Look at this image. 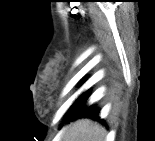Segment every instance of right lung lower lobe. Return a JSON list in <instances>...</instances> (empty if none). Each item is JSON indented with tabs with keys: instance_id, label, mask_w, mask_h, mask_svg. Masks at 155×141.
Segmentation results:
<instances>
[{
	"instance_id": "right-lung-lower-lobe-1",
	"label": "right lung lower lobe",
	"mask_w": 155,
	"mask_h": 141,
	"mask_svg": "<svg viewBox=\"0 0 155 141\" xmlns=\"http://www.w3.org/2000/svg\"><path fill=\"white\" fill-rule=\"evenodd\" d=\"M87 97L88 94L86 92L76 100V102L72 105V107L69 110V114L66 119L67 122L80 117H90L93 119H99L98 110H96L93 106H84Z\"/></svg>"
}]
</instances>
